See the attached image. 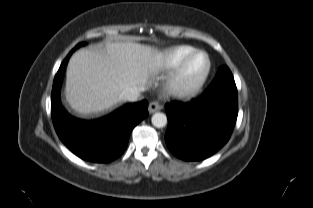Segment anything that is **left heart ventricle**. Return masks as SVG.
Listing matches in <instances>:
<instances>
[{"instance_id": "b2bd125f", "label": "left heart ventricle", "mask_w": 313, "mask_h": 208, "mask_svg": "<svg viewBox=\"0 0 313 208\" xmlns=\"http://www.w3.org/2000/svg\"><path fill=\"white\" fill-rule=\"evenodd\" d=\"M204 64L203 57H197L193 63L190 65L188 73H187V80H193L195 76L198 74V72L201 70Z\"/></svg>"}]
</instances>
